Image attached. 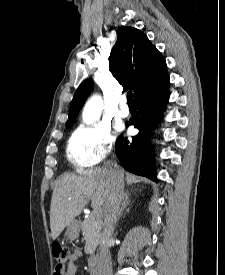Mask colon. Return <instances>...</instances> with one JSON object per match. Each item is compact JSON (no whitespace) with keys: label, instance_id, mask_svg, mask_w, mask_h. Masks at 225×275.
Segmentation results:
<instances>
[{"label":"colon","instance_id":"1","mask_svg":"<svg viewBox=\"0 0 225 275\" xmlns=\"http://www.w3.org/2000/svg\"><path fill=\"white\" fill-rule=\"evenodd\" d=\"M52 255L53 258L58 262V266L54 275H62V273L65 271L64 264L70 257L69 249L60 243H53Z\"/></svg>","mask_w":225,"mask_h":275}]
</instances>
